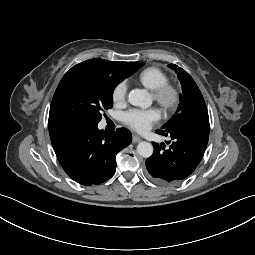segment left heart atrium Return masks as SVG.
<instances>
[{
    "label": "left heart atrium",
    "mask_w": 255,
    "mask_h": 255,
    "mask_svg": "<svg viewBox=\"0 0 255 255\" xmlns=\"http://www.w3.org/2000/svg\"><path fill=\"white\" fill-rule=\"evenodd\" d=\"M160 119V112L156 108L131 109L124 113L123 121L137 132H145Z\"/></svg>",
    "instance_id": "39dd6f15"
}]
</instances>
